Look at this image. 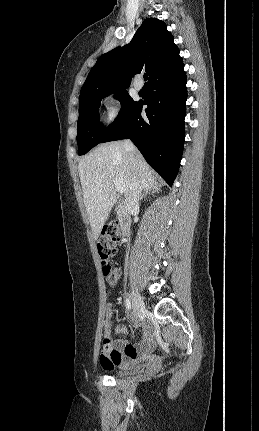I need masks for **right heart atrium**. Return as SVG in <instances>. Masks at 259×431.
Returning <instances> with one entry per match:
<instances>
[{"label":"right heart atrium","instance_id":"right-heart-atrium-1","mask_svg":"<svg viewBox=\"0 0 259 431\" xmlns=\"http://www.w3.org/2000/svg\"><path fill=\"white\" fill-rule=\"evenodd\" d=\"M105 107L104 120L108 124H115L121 117L124 109L122 98L116 93H109L103 99Z\"/></svg>","mask_w":259,"mask_h":431}]
</instances>
